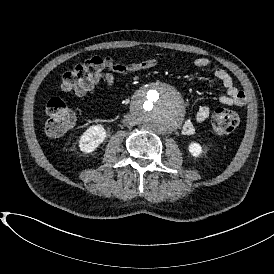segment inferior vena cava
Returning <instances> with one entry per match:
<instances>
[{"label":"inferior vena cava","mask_w":274,"mask_h":274,"mask_svg":"<svg viewBox=\"0 0 274 274\" xmlns=\"http://www.w3.org/2000/svg\"><path fill=\"white\" fill-rule=\"evenodd\" d=\"M123 123H124L126 126H128V127L134 125L133 120H132V119H128V118H125V119L123 120Z\"/></svg>","instance_id":"obj_1"}]
</instances>
